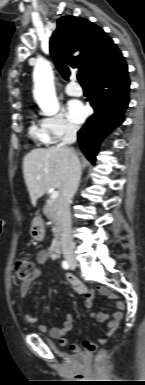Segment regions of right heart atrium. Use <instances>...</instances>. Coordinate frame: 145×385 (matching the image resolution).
<instances>
[{"label":"right heart atrium","mask_w":145,"mask_h":385,"mask_svg":"<svg viewBox=\"0 0 145 385\" xmlns=\"http://www.w3.org/2000/svg\"><path fill=\"white\" fill-rule=\"evenodd\" d=\"M41 127L46 136L45 143L48 144L57 143L78 129L62 112L43 118Z\"/></svg>","instance_id":"obj_1"}]
</instances>
